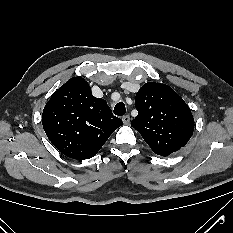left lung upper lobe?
Segmentation results:
<instances>
[{"instance_id": "5c2ea615", "label": "left lung upper lobe", "mask_w": 233, "mask_h": 233, "mask_svg": "<svg viewBox=\"0 0 233 233\" xmlns=\"http://www.w3.org/2000/svg\"><path fill=\"white\" fill-rule=\"evenodd\" d=\"M138 116L131 122L154 153L168 156L185 146L194 118L184 100L168 85L148 82L136 94Z\"/></svg>"}]
</instances>
